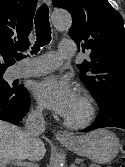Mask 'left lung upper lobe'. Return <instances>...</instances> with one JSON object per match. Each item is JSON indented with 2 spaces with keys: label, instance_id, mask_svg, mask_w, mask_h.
<instances>
[{
  "label": "left lung upper lobe",
  "instance_id": "5c2ea615",
  "mask_svg": "<svg viewBox=\"0 0 125 167\" xmlns=\"http://www.w3.org/2000/svg\"><path fill=\"white\" fill-rule=\"evenodd\" d=\"M73 18L69 35L90 60L78 65L81 80L99 107L111 97H125L124 21L107 0H53Z\"/></svg>",
  "mask_w": 125,
  "mask_h": 167
}]
</instances>
